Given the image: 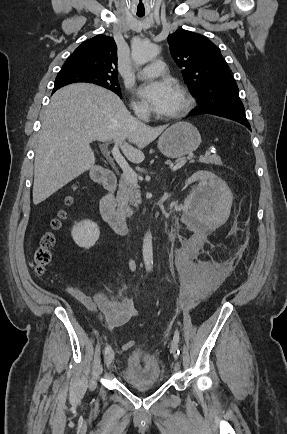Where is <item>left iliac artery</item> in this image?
Returning <instances> with one entry per match:
<instances>
[{"instance_id": "44dca946", "label": "left iliac artery", "mask_w": 287, "mask_h": 434, "mask_svg": "<svg viewBox=\"0 0 287 434\" xmlns=\"http://www.w3.org/2000/svg\"><path fill=\"white\" fill-rule=\"evenodd\" d=\"M180 306L183 308L185 306L184 302L180 301ZM179 339H180L179 332H178V330H176L174 333L173 341H175L178 344ZM177 353H178V351H177Z\"/></svg>"}]
</instances>
